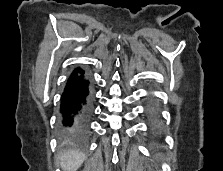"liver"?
Instances as JSON below:
<instances>
[{
	"label": "liver",
	"mask_w": 223,
	"mask_h": 171,
	"mask_svg": "<svg viewBox=\"0 0 223 171\" xmlns=\"http://www.w3.org/2000/svg\"><path fill=\"white\" fill-rule=\"evenodd\" d=\"M59 160L64 171H76L85 160V155L78 151H67L61 154Z\"/></svg>",
	"instance_id": "6515ba94"
}]
</instances>
